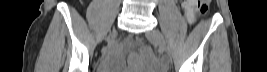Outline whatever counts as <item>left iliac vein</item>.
Returning <instances> with one entry per match:
<instances>
[{
  "instance_id": "left-iliac-vein-1",
  "label": "left iliac vein",
  "mask_w": 267,
  "mask_h": 72,
  "mask_svg": "<svg viewBox=\"0 0 267 72\" xmlns=\"http://www.w3.org/2000/svg\"><path fill=\"white\" fill-rule=\"evenodd\" d=\"M146 37L158 45L159 50L163 54L164 61L166 63H169L170 62V56L167 52L166 43H165V40H164L161 32L157 29H153V30L146 33Z\"/></svg>"
}]
</instances>
